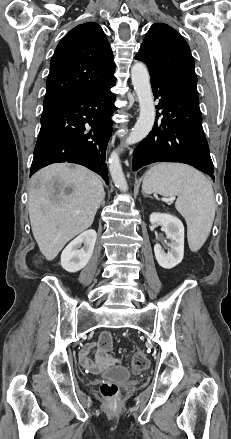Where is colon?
Instances as JSON below:
<instances>
[{
  "instance_id": "colon-1",
  "label": "colon",
  "mask_w": 231,
  "mask_h": 439,
  "mask_svg": "<svg viewBox=\"0 0 231 439\" xmlns=\"http://www.w3.org/2000/svg\"><path fill=\"white\" fill-rule=\"evenodd\" d=\"M98 344L101 350L109 351L113 346V338L109 333L101 334ZM131 366L134 372L139 373L146 370L149 366V359L147 355L141 351H136L131 359ZM100 392L103 397L107 399H114L119 394V387L113 382L105 381L100 385Z\"/></svg>"
}]
</instances>
